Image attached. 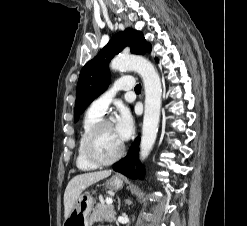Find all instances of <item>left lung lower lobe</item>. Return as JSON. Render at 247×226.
<instances>
[{
    "label": "left lung lower lobe",
    "mask_w": 247,
    "mask_h": 226,
    "mask_svg": "<svg viewBox=\"0 0 247 226\" xmlns=\"http://www.w3.org/2000/svg\"><path fill=\"white\" fill-rule=\"evenodd\" d=\"M157 61V59H156ZM140 138H136L134 141L133 147L129 151L126 157L117 162L113 169L117 172H120L132 179H142L143 169L138 162V150H139ZM136 164L137 168L134 169V165Z\"/></svg>",
    "instance_id": "left-lung-lower-lobe-1"
}]
</instances>
